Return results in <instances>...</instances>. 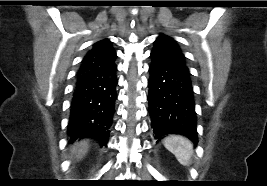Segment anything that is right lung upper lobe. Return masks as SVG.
Listing matches in <instances>:
<instances>
[{
	"label": "right lung upper lobe",
	"mask_w": 267,
	"mask_h": 186,
	"mask_svg": "<svg viewBox=\"0 0 267 186\" xmlns=\"http://www.w3.org/2000/svg\"><path fill=\"white\" fill-rule=\"evenodd\" d=\"M116 58V52L108 39L101 40L92 46L82 60L80 71L104 66L113 62Z\"/></svg>",
	"instance_id": "obj_1"
}]
</instances>
